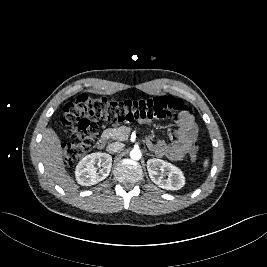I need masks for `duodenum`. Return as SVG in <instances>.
Returning <instances> with one entry per match:
<instances>
[{
  "instance_id": "1",
  "label": "duodenum",
  "mask_w": 267,
  "mask_h": 267,
  "mask_svg": "<svg viewBox=\"0 0 267 267\" xmlns=\"http://www.w3.org/2000/svg\"><path fill=\"white\" fill-rule=\"evenodd\" d=\"M107 144V138L102 136L98 139L96 146L98 149H104Z\"/></svg>"
}]
</instances>
